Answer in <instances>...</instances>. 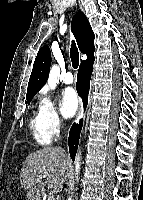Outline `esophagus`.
I'll use <instances>...</instances> for the list:
<instances>
[{
    "instance_id": "esophagus-1",
    "label": "esophagus",
    "mask_w": 143,
    "mask_h": 200,
    "mask_svg": "<svg viewBox=\"0 0 143 200\" xmlns=\"http://www.w3.org/2000/svg\"><path fill=\"white\" fill-rule=\"evenodd\" d=\"M82 114H83V103L81 102L80 103V107H79V111H78V114H77V118H76V122L77 123L81 119Z\"/></svg>"
}]
</instances>
